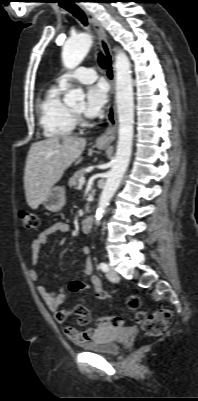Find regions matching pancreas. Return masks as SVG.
<instances>
[{
    "mask_svg": "<svg viewBox=\"0 0 198 401\" xmlns=\"http://www.w3.org/2000/svg\"><path fill=\"white\" fill-rule=\"evenodd\" d=\"M84 175H85V169L84 168H82V169L78 170L77 172H75V174L68 181L69 187L70 188H76V186H77V184L79 182V179L81 177H84ZM88 211H89L88 207H86V212H88Z\"/></svg>",
    "mask_w": 198,
    "mask_h": 401,
    "instance_id": "pancreas-1",
    "label": "pancreas"
}]
</instances>
